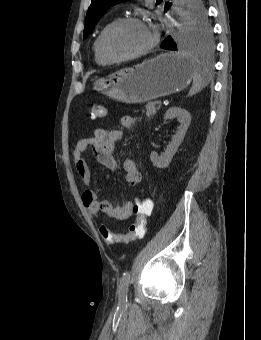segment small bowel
<instances>
[{"instance_id":"small-bowel-1","label":"small bowel","mask_w":261,"mask_h":340,"mask_svg":"<svg viewBox=\"0 0 261 340\" xmlns=\"http://www.w3.org/2000/svg\"><path fill=\"white\" fill-rule=\"evenodd\" d=\"M136 119L132 116H123L121 125L126 129H132ZM123 132L121 130H107L96 128L93 137L79 140L74 149L73 163L76 172L85 186L91 181V171L85 152L92 149L98 161L110 170L118 168V161L114 155L116 143L121 139ZM124 178L131 186H137L141 183L142 176L136 162L131 158H126L122 164ZM99 188L86 189L82 194V202L91 215L103 213L116 220H125L132 215L133 203L130 200L124 202H110L99 200Z\"/></svg>"}]
</instances>
